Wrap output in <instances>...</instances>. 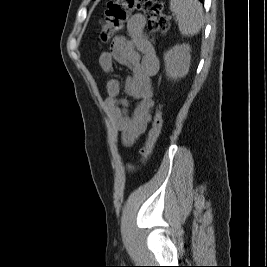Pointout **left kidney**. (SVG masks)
Listing matches in <instances>:
<instances>
[{"instance_id":"5707ae66","label":"left kidney","mask_w":267,"mask_h":267,"mask_svg":"<svg viewBox=\"0 0 267 267\" xmlns=\"http://www.w3.org/2000/svg\"><path fill=\"white\" fill-rule=\"evenodd\" d=\"M190 46L176 45L164 53L165 71L168 78L177 80L188 74L190 67Z\"/></svg>"}]
</instances>
